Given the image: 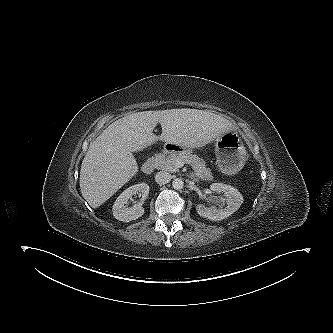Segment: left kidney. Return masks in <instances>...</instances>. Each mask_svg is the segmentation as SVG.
I'll use <instances>...</instances> for the list:
<instances>
[{
	"mask_svg": "<svg viewBox=\"0 0 333 333\" xmlns=\"http://www.w3.org/2000/svg\"><path fill=\"white\" fill-rule=\"evenodd\" d=\"M210 189L215 193H223L225 198H220L218 202L226 206L224 208H217L215 205L206 207L203 204H198L196 210L201 217L213 221H220L231 216L243 203L241 193L230 185L214 183L210 186Z\"/></svg>",
	"mask_w": 333,
	"mask_h": 333,
	"instance_id": "5707ae66",
	"label": "left kidney"
}]
</instances>
